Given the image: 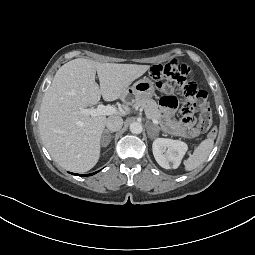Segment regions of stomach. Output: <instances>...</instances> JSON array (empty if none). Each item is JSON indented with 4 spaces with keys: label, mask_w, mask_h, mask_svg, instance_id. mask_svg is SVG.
I'll return each mask as SVG.
<instances>
[{
    "label": "stomach",
    "mask_w": 255,
    "mask_h": 255,
    "mask_svg": "<svg viewBox=\"0 0 255 255\" xmlns=\"http://www.w3.org/2000/svg\"><path fill=\"white\" fill-rule=\"evenodd\" d=\"M154 94V83L148 78L140 79L127 89V96L134 97L135 99L151 98Z\"/></svg>",
    "instance_id": "stomach-1"
}]
</instances>
